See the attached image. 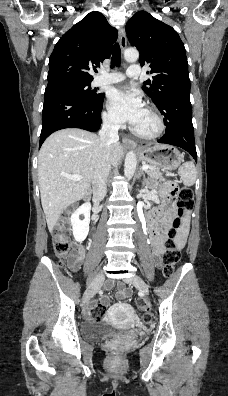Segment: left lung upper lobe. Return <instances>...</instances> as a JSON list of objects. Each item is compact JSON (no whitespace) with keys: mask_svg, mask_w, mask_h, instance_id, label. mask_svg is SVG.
<instances>
[{"mask_svg":"<svg viewBox=\"0 0 228 396\" xmlns=\"http://www.w3.org/2000/svg\"><path fill=\"white\" fill-rule=\"evenodd\" d=\"M126 32L140 52L141 66L151 68L153 77L144 82L143 90L158 108L172 96L190 93L185 47L171 26L139 11L128 21ZM175 103L174 110H181L182 103Z\"/></svg>","mask_w":228,"mask_h":396,"instance_id":"5c2ea615","label":"left lung upper lobe"}]
</instances>
